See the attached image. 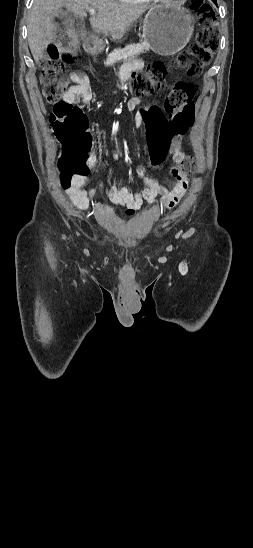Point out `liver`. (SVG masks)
<instances>
[{
  "label": "liver",
  "mask_w": 253,
  "mask_h": 548,
  "mask_svg": "<svg viewBox=\"0 0 253 548\" xmlns=\"http://www.w3.org/2000/svg\"><path fill=\"white\" fill-rule=\"evenodd\" d=\"M65 7L75 16L84 18L86 11L94 9L97 14L89 19L96 33L120 39L126 30L146 11V7L116 2L115 0H34L28 17V43L35 62L43 57L50 43L56 13Z\"/></svg>",
  "instance_id": "1"
}]
</instances>
